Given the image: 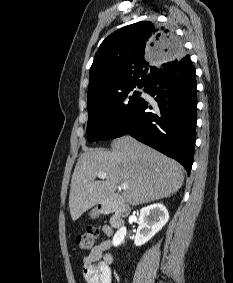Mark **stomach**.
<instances>
[{
  "mask_svg": "<svg viewBox=\"0 0 233 283\" xmlns=\"http://www.w3.org/2000/svg\"><path fill=\"white\" fill-rule=\"evenodd\" d=\"M99 210L98 209H94L92 210V212L90 213L92 217H96L99 214Z\"/></svg>",
  "mask_w": 233,
  "mask_h": 283,
  "instance_id": "0dacf381",
  "label": "stomach"
}]
</instances>
